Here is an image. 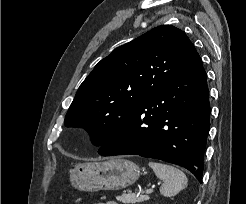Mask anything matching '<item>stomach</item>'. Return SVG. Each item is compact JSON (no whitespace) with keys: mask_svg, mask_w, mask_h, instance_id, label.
Wrapping results in <instances>:
<instances>
[{"mask_svg":"<svg viewBox=\"0 0 246 204\" xmlns=\"http://www.w3.org/2000/svg\"><path fill=\"white\" fill-rule=\"evenodd\" d=\"M140 176L139 167L122 158L103 162L78 163L70 170L71 184L81 190H119L135 183Z\"/></svg>","mask_w":246,"mask_h":204,"instance_id":"0dacf381","label":"stomach"}]
</instances>
